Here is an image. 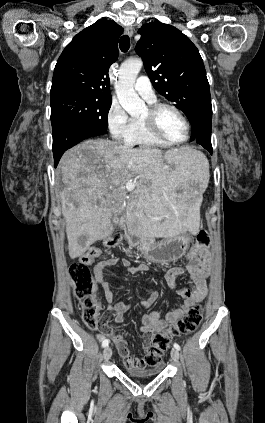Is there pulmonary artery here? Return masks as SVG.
I'll list each match as a JSON object with an SVG mask.
<instances>
[{
	"instance_id": "e3ab8cb5",
	"label": "pulmonary artery",
	"mask_w": 265,
	"mask_h": 423,
	"mask_svg": "<svg viewBox=\"0 0 265 423\" xmlns=\"http://www.w3.org/2000/svg\"><path fill=\"white\" fill-rule=\"evenodd\" d=\"M134 88L137 94L147 102L153 103L155 101V93L147 77H140L135 83Z\"/></svg>"
}]
</instances>
